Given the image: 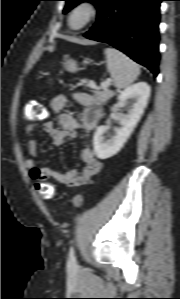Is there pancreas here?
Wrapping results in <instances>:
<instances>
[{"mask_svg": "<svg viewBox=\"0 0 180 299\" xmlns=\"http://www.w3.org/2000/svg\"><path fill=\"white\" fill-rule=\"evenodd\" d=\"M95 95H96V100L97 101H99L101 103H104L108 99H110L114 94L111 91L103 90V91H96Z\"/></svg>", "mask_w": 180, "mask_h": 299, "instance_id": "pancreas-1", "label": "pancreas"}]
</instances>
